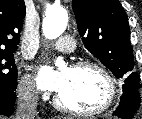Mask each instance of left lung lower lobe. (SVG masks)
<instances>
[{
	"instance_id": "0a47b994",
	"label": "left lung lower lobe",
	"mask_w": 142,
	"mask_h": 119,
	"mask_svg": "<svg viewBox=\"0 0 142 119\" xmlns=\"http://www.w3.org/2000/svg\"><path fill=\"white\" fill-rule=\"evenodd\" d=\"M140 106V94L138 90H129L123 93L119 107L113 115L121 118H130Z\"/></svg>"
}]
</instances>
